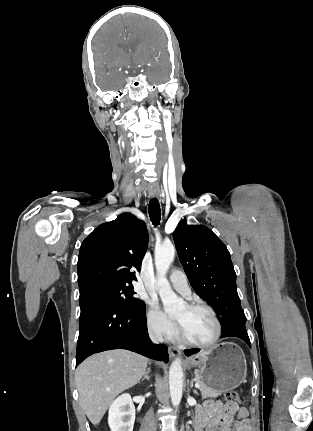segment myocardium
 I'll return each instance as SVG.
<instances>
[{"label":"myocardium","instance_id":"1","mask_svg":"<svg viewBox=\"0 0 313 431\" xmlns=\"http://www.w3.org/2000/svg\"><path fill=\"white\" fill-rule=\"evenodd\" d=\"M186 307L189 310H195V309H203L206 310L213 318L215 325H216V333L215 336L213 337V339L207 343H197L194 342L192 340H190L189 338L186 337V335L184 334L181 325L176 321V326H177V337L179 339L180 342H182L183 344L190 346V347H195V348H210L212 346H214L219 339L221 338L222 335V324L221 321L219 319V317L217 316L216 312L214 311V309H212L210 306L201 303V302H188L185 304Z\"/></svg>","mask_w":313,"mask_h":431}]
</instances>
